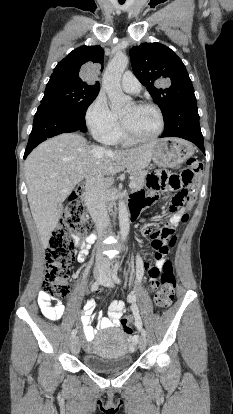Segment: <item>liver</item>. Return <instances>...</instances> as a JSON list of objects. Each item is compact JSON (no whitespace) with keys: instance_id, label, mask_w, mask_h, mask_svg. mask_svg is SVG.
<instances>
[{"instance_id":"1","label":"liver","mask_w":233,"mask_h":414,"mask_svg":"<svg viewBox=\"0 0 233 414\" xmlns=\"http://www.w3.org/2000/svg\"><path fill=\"white\" fill-rule=\"evenodd\" d=\"M156 141L135 148L109 150L89 145L77 133H62L37 146L25 161L28 202L41 242L47 247L63 202L90 172L112 176L141 171L153 157Z\"/></svg>"}]
</instances>
